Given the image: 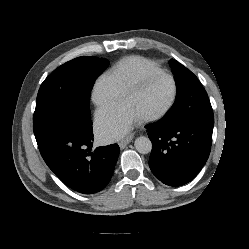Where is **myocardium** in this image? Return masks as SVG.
<instances>
[{
	"instance_id": "myocardium-1",
	"label": "myocardium",
	"mask_w": 249,
	"mask_h": 249,
	"mask_svg": "<svg viewBox=\"0 0 249 249\" xmlns=\"http://www.w3.org/2000/svg\"><path fill=\"white\" fill-rule=\"evenodd\" d=\"M158 77H166L171 81V83H172L171 97H170L169 101L166 103V105L161 110H159L158 112L153 113L151 115L140 118V120L142 122H151V121L158 120V119L162 118L163 116H165L171 110V108L173 107V105L176 101L177 92H178L177 82H176L175 78L171 74L166 73L164 71L148 73V74H145L142 77H140L134 83H132L126 89V91L124 93V98H126V97L130 96L131 94L142 89L151 80L158 78Z\"/></svg>"
}]
</instances>
